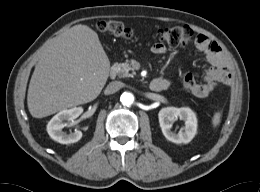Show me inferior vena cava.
<instances>
[{
  "mask_svg": "<svg viewBox=\"0 0 260 192\" xmlns=\"http://www.w3.org/2000/svg\"><path fill=\"white\" fill-rule=\"evenodd\" d=\"M123 88V83L121 81H112L105 89V94H113Z\"/></svg>",
  "mask_w": 260,
  "mask_h": 192,
  "instance_id": "602c4592",
  "label": "inferior vena cava"
}]
</instances>
